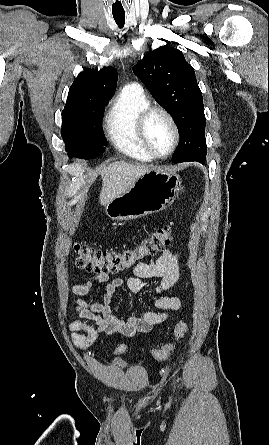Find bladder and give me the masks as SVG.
Wrapping results in <instances>:
<instances>
[{
  "instance_id": "bladder-1",
  "label": "bladder",
  "mask_w": 269,
  "mask_h": 445,
  "mask_svg": "<svg viewBox=\"0 0 269 445\" xmlns=\"http://www.w3.org/2000/svg\"><path fill=\"white\" fill-rule=\"evenodd\" d=\"M112 367H115V368H124L125 365H124L123 363H120V362H113V363H112Z\"/></svg>"
}]
</instances>
